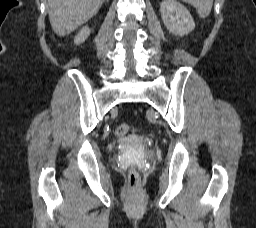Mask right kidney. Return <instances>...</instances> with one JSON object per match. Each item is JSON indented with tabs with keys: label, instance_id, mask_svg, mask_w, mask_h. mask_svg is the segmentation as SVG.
Masks as SVG:
<instances>
[{
	"label": "right kidney",
	"instance_id": "ca27d5eb",
	"mask_svg": "<svg viewBox=\"0 0 256 228\" xmlns=\"http://www.w3.org/2000/svg\"><path fill=\"white\" fill-rule=\"evenodd\" d=\"M90 32H91V30H90L89 27H87V26L83 27L79 31V33L75 36L74 43L76 45H79V44L83 43L88 38V36L90 35Z\"/></svg>",
	"mask_w": 256,
	"mask_h": 228
}]
</instances>
